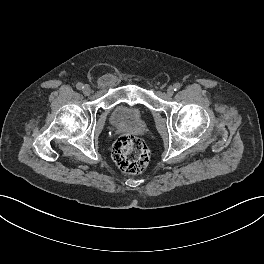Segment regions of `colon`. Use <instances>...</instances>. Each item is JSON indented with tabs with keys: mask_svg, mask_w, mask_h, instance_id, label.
Wrapping results in <instances>:
<instances>
[{
	"mask_svg": "<svg viewBox=\"0 0 264 264\" xmlns=\"http://www.w3.org/2000/svg\"><path fill=\"white\" fill-rule=\"evenodd\" d=\"M112 157L122 171L137 174L147 167L150 156L146 144L141 139L126 134L115 141Z\"/></svg>",
	"mask_w": 264,
	"mask_h": 264,
	"instance_id": "5ec220e1",
	"label": "colon"
}]
</instances>
